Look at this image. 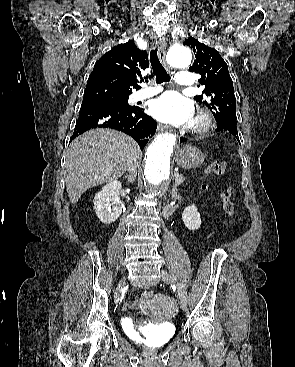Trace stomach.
Masks as SVG:
<instances>
[{"label": "stomach", "instance_id": "obj_1", "mask_svg": "<svg viewBox=\"0 0 295 367\" xmlns=\"http://www.w3.org/2000/svg\"><path fill=\"white\" fill-rule=\"evenodd\" d=\"M205 155L197 147L186 145L175 153L176 163L184 169L197 168L203 164Z\"/></svg>", "mask_w": 295, "mask_h": 367}]
</instances>
